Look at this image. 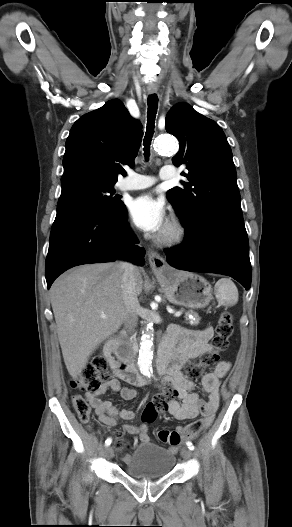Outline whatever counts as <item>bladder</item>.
<instances>
[{
  "mask_svg": "<svg viewBox=\"0 0 292 527\" xmlns=\"http://www.w3.org/2000/svg\"><path fill=\"white\" fill-rule=\"evenodd\" d=\"M175 456L155 443H143L124 458V472L135 479H157L167 476L174 467Z\"/></svg>",
  "mask_w": 292,
  "mask_h": 527,
  "instance_id": "bladder-1",
  "label": "bladder"
}]
</instances>
